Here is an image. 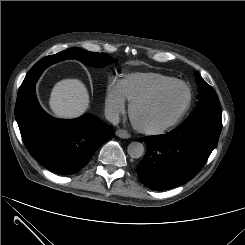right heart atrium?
Here are the masks:
<instances>
[{
    "label": "right heart atrium",
    "mask_w": 245,
    "mask_h": 245,
    "mask_svg": "<svg viewBox=\"0 0 245 245\" xmlns=\"http://www.w3.org/2000/svg\"><path fill=\"white\" fill-rule=\"evenodd\" d=\"M104 106L107 117L116 121L121 115L126 112V99L120 89L118 81H110L104 94Z\"/></svg>",
    "instance_id": "right-heart-atrium-1"
}]
</instances>
